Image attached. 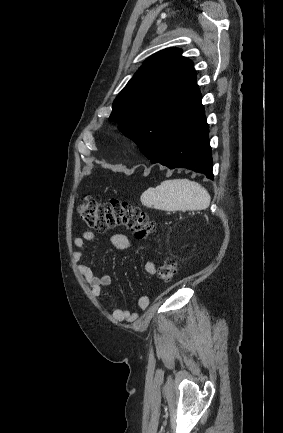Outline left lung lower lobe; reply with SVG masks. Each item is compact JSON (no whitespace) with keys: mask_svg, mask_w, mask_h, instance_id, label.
Returning <instances> with one entry per match:
<instances>
[{"mask_svg":"<svg viewBox=\"0 0 283 433\" xmlns=\"http://www.w3.org/2000/svg\"><path fill=\"white\" fill-rule=\"evenodd\" d=\"M208 133L203 108L178 124L155 125L139 148L152 164L160 163L170 169L188 168L213 179Z\"/></svg>","mask_w":283,"mask_h":433,"instance_id":"left-lung-lower-lobe-1","label":"left lung lower lobe"}]
</instances>
